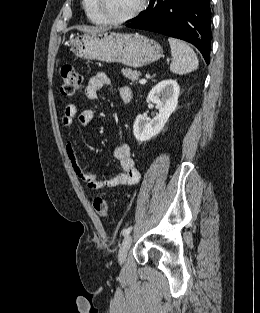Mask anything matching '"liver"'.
I'll return each instance as SVG.
<instances>
[{
	"label": "liver",
	"mask_w": 260,
	"mask_h": 313,
	"mask_svg": "<svg viewBox=\"0 0 260 313\" xmlns=\"http://www.w3.org/2000/svg\"><path fill=\"white\" fill-rule=\"evenodd\" d=\"M79 30L86 32V33H98V32H104L107 29L97 28V27H83V28H79Z\"/></svg>",
	"instance_id": "1"
}]
</instances>
